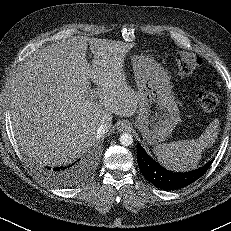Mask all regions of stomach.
Returning <instances> with one entry per match:
<instances>
[{
    "mask_svg": "<svg viewBox=\"0 0 231 231\" xmlns=\"http://www.w3.org/2000/svg\"><path fill=\"white\" fill-rule=\"evenodd\" d=\"M132 62L138 101L135 126L148 145H156L170 136L180 120L170 76L152 57L133 56Z\"/></svg>",
    "mask_w": 231,
    "mask_h": 231,
    "instance_id": "stomach-1",
    "label": "stomach"
}]
</instances>
